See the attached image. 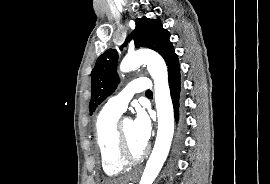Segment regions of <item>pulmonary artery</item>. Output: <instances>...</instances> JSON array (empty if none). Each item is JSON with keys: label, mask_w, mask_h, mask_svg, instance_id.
I'll return each instance as SVG.
<instances>
[{"label": "pulmonary artery", "mask_w": 270, "mask_h": 184, "mask_svg": "<svg viewBox=\"0 0 270 184\" xmlns=\"http://www.w3.org/2000/svg\"><path fill=\"white\" fill-rule=\"evenodd\" d=\"M151 83L147 78H137L131 81L118 95L110 98L106 106L119 113H123L134 94L147 92Z\"/></svg>", "instance_id": "e3ab8cb5"}]
</instances>
